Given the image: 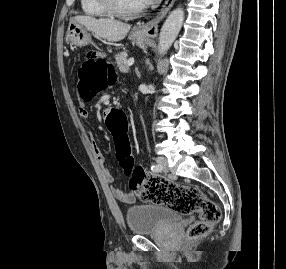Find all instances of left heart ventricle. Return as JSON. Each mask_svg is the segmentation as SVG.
I'll use <instances>...</instances> for the list:
<instances>
[{"label":"left heart ventricle","instance_id":"left-heart-ventricle-1","mask_svg":"<svg viewBox=\"0 0 286 269\" xmlns=\"http://www.w3.org/2000/svg\"><path fill=\"white\" fill-rule=\"evenodd\" d=\"M116 3L124 11H132L143 6L142 0H116Z\"/></svg>","mask_w":286,"mask_h":269}]
</instances>
